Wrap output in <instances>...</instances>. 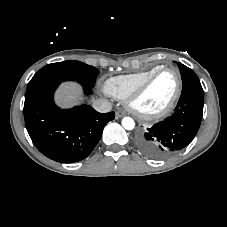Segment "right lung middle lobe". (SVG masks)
Returning a JSON list of instances; mask_svg holds the SVG:
<instances>
[{
	"label": "right lung middle lobe",
	"mask_w": 227,
	"mask_h": 227,
	"mask_svg": "<svg viewBox=\"0 0 227 227\" xmlns=\"http://www.w3.org/2000/svg\"><path fill=\"white\" fill-rule=\"evenodd\" d=\"M98 70L93 66L87 65L79 61H63L52 63L41 68L31 79V81L56 76L68 80H76L83 85L93 88Z\"/></svg>",
	"instance_id": "1"
}]
</instances>
